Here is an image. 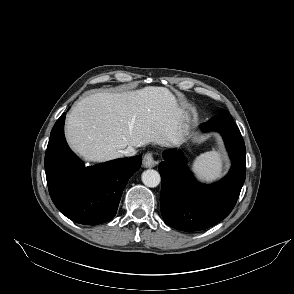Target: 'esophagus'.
Returning a JSON list of instances; mask_svg holds the SVG:
<instances>
[{"label": "esophagus", "mask_w": 294, "mask_h": 294, "mask_svg": "<svg viewBox=\"0 0 294 294\" xmlns=\"http://www.w3.org/2000/svg\"><path fill=\"white\" fill-rule=\"evenodd\" d=\"M156 165V161L151 153H146L143 157V166L145 168H152Z\"/></svg>", "instance_id": "1"}]
</instances>
